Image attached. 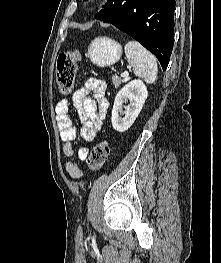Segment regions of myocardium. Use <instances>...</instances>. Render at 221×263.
<instances>
[{
    "mask_svg": "<svg viewBox=\"0 0 221 263\" xmlns=\"http://www.w3.org/2000/svg\"><path fill=\"white\" fill-rule=\"evenodd\" d=\"M100 3H101V0H86L85 1L86 7L89 9H94L98 7Z\"/></svg>",
    "mask_w": 221,
    "mask_h": 263,
    "instance_id": "myocardium-1",
    "label": "myocardium"
}]
</instances>
